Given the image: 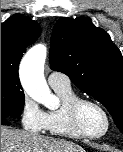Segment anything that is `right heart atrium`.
<instances>
[{
	"label": "right heart atrium",
	"mask_w": 123,
	"mask_h": 152,
	"mask_svg": "<svg viewBox=\"0 0 123 152\" xmlns=\"http://www.w3.org/2000/svg\"><path fill=\"white\" fill-rule=\"evenodd\" d=\"M20 119L27 131L40 132L45 128L46 113L34 100L25 96L21 105Z\"/></svg>",
	"instance_id": "d8ad5b80"
}]
</instances>
